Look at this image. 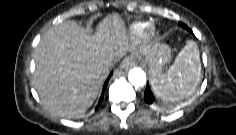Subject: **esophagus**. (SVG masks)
I'll list each match as a JSON object with an SVG mask.
<instances>
[{
  "instance_id": "34e87169",
  "label": "esophagus",
  "mask_w": 236,
  "mask_h": 135,
  "mask_svg": "<svg viewBox=\"0 0 236 135\" xmlns=\"http://www.w3.org/2000/svg\"><path fill=\"white\" fill-rule=\"evenodd\" d=\"M134 65H135V60L132 57H126L121 63L122 68H130Z\"/></svg>"
}]
</instances>
